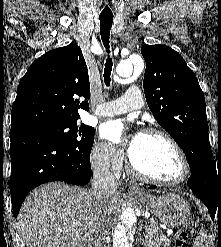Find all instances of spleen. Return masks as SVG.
<instances>
[{
	"mask_svg": "<svg viewBox=\"0 0 221 247\" xmlns=\"http://www.w3.org/2000/svg\"><path fill=\"white\" fill-rule=\"evenodd\" d=\"M205 238H206V234L202 230L200 235L197 237L196 241L194 242V247H207Z\"/></svg>",
	"mask_w": 221,
	"mask_h": 247,
	"instance_id": "obj_1",
	"label": "spleen"
}]
</instances>
